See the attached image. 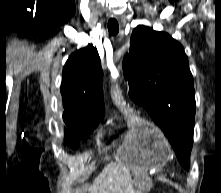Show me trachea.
Masks as SVG:
<instances>
[{"label": "trachea", "instance_id": "obj_1", "mask_svg": "<svg viewBox=\"0 0 221 193\" xmlns=\"http://www.w3.org/2000/svg\"><path fill=\"white\" fill-rule=\"evenodd\" d=\"M108 31L111 35H117L119 32V25L115 18H110L108 21Z\"/></svg>", "mask_w": 221, "mask_h": 193}]
</instances>
